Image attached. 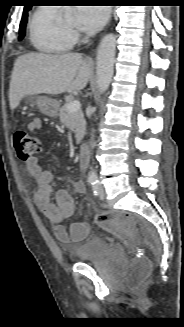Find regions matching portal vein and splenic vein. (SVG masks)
Wrapping results in <instances>:
<instances>
[{"label": "portal vein and splenic vein", "mask_w": 184, "mask_h": 327, "mask_svg": "<svg viewBox=\"0 0 184 327\" xmlns=\"http://www.w3.org/2000/svg\"><path fill=\"white\" fill-rule=\"evenodd\" d=\"M81 108V104L79 101H71L67 104V110L69 113H74L79 111Z\"/></svg>", "instance_id": "portal-vein-and-splenic-vein-1"}]
</instances>
